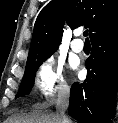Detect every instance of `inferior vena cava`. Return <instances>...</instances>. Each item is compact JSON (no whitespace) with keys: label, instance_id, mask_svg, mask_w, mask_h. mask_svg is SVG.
Segmentation results:
<instances>
[{"label":"inferior vena cava","instance_id":"obj_1","mask_svg":"<svg viewBox=\"0 0 118 123\" xmlns=\"http://www.w3.org/2000/svg\"><path fill=\"white\" fill-rule=\"evenodd\" d=\"M69 96V86H61L58 92V100L56 105V114L61 119V123H71L65 115V111L69 105Z\"/></svg>","mask_w":118,"mask_h":123}]
</instances>
